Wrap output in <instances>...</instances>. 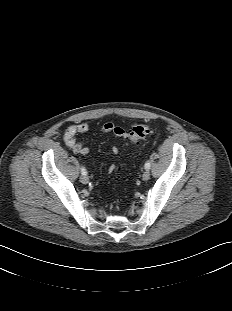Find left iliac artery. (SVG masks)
Here are the masks:
<instances>
[{"mask_svg":"<svg viewBox=\"0 0 232 311\" xmlns=\"http://www.w3.org/2000/svg\"><path fill=\"white\" fill-rule=\"evenodd\" d=\"M150 166H151V165H150V162L147 161V162L145 163V169H147V170L150 169Z\"/></svg>","mask_w":232,"mask_h":311,"instance_id":"1","label":"left iliac artery"}]
</instances>
